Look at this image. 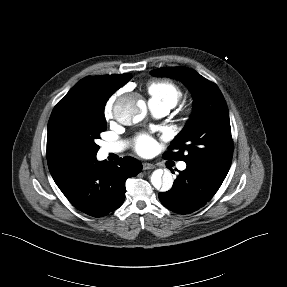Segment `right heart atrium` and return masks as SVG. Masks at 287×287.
<instances>
[{"label": "right heart atrium", "instance_id": "right-heart-atrium-1", "mask_svg": "<svg viewBox=\"0 0 287 287\" xmlns=\"http://www.w3.org/2000/svg\"><path fill=\"white\" fill-rule=\"evenodd\" d=\"M115 100H116V96L110 97L104 106V116L107 119L112 116Z\"/></svg>", "mask_w": 287, "mask_h": 287}]
</instances>
